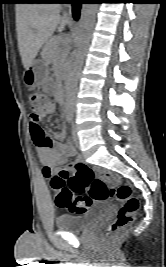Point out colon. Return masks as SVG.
Instances as JSON below:
<instances>
[{"instance_id": "colon-1", "label": "colon", "mask_w": 166, "mask_h": 267, "mask_svg": "<svg viewBox=\"0 0 166 267\" xmlns=\"http://www.w3.org/2000/svg\"><path fill=\"white\" fill-rule=\"evenodd\" d=\"M28 100L33 117L52 106L50 97L39 91H32ZM36 138L38 142H43L44 132L36 130ZM115 182L116 177L111 173L97 174L93 168L78 160L72 165L71 170L61 169L54 174L50 185L55 192L56 205L77 215L88 213L94 201L115 198L121 202L115 219L104 230V238L111 239L133 221L139 208V200L133 196L130 185H115Z\"/></svg>"}]
</instances>
